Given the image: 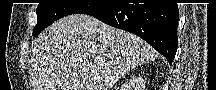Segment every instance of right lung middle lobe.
<instances>
[{
	"label": "right lung middle lobe",
	"mask_w": 216,
	"mask_h": 90,
	"mask_svg": "<svg viewBox=\"0 0 216 90\" xmlns=\"http://www.w3.org/2000/svg\"><path fill=\"white\" fill-rule=\"evenodd\" d=\"M106 5L108 4L40 3L36 10L38 21L32 35L34 37L38 36L43 29L64 16L76 13L87 14Z\"/></svg>",
	"instance_id": "obj_1"
}]
</instances>
